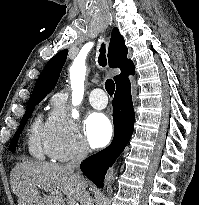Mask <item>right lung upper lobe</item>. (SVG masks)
<instances>
[{
	"mask_svg": "<svg viewBox=\"0 0 199 205\" xmlns=\"http://www.w3.org/2000/svg\"><path fill=\"white\" fill-rule=\"evenodd\" d=\"M68 50H62L52 57L44 67L38 78L29 101L43 99L55 87L61 69L66 61ZM128 48L118 28H114L111 34L108 59L111 68L119 67L120 75L114 77L116 85H119L129 74H134L135 67L131 59H127ZM28 101V102H29Z\"/></svg>",
	"mask_w": 199,
	"mask_h": 205,
	"instance_id": "obj_1",
	"label": "right lung upper lobe"
}]
</instances>
